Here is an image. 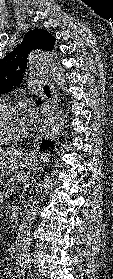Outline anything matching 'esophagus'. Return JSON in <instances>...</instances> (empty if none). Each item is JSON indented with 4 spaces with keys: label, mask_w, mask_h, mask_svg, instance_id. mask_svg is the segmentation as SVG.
Segmentation results:
<instances>
[{
    "label": "esophagus",
    "mask_w": 113,
    "mask_h": 279,
    "mask_svg": "<svg viewBox=\"0 0 113 279\" xmlns=\"http://www.w3.org/2000/svg\"><path fill=\"white\" fill-rule=\"evenodd\" d=\"M50 89H51V98H50L49 113L47 114V116L45 117L43 122H41V124H40L41 127H43V125L45 124V122L49 118V116L54 114V112L56 111V108H57V90H56L53 82H51V84H50ZM41 139H42V134L39 132L36 136V141L40 142Z\"/></svg>",
    "instance_id": "1"
}]
</instances>
